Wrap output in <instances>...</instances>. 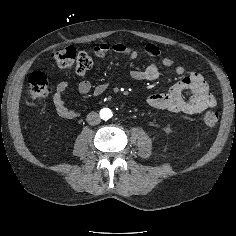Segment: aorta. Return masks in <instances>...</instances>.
<instances>
[{
  "instance_id": "762f6f07",
  "label": "aorta",
  "mask_w": 236,
  "mask_h": 236,
  "mask_svg": "<svg viewBox=\"0 0 236 236\" xmlns=\"http://www.w3.org/2000/svg\"><path fill=\"white\" fill-rule=\"evenodd\" d=\"M100 114L103 119H109L111 117V110L104 108L101 110Z\"/></svg>"
}]
</instances>
